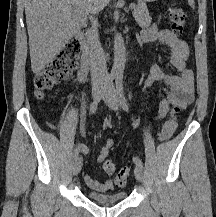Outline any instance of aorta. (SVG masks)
Instances as JSON below:
<instances>
[{"instance_id": "aorta-1", "label": "aorta", "mask_w": 216, "mask_h": 217, "mask_svg": "<svg viewBox=\"0 0 216 217\" xmlns=\"http://www.w3.org/2000/svg\"><path fill=\"white\" fill-rule=\"evenodd\" d=\"M126 63V48L121 34H116L114 38V61L111 75L123 77Z\"/></svg>"}]
</instances>
